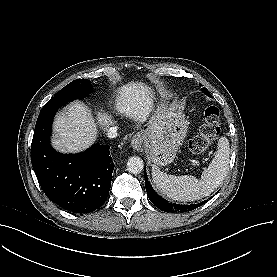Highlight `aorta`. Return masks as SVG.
Listing matches in <instances>:
<instances>
[{"instance_id":"1","label":"aorta","mask_w":277,"mask_h":277,"mask_svg":"<svg viewBox=\"0 0 277 277\" xmlns=\"http://www.w3.org/2000/svg\"><path fill=\"white\" fill-rule=\"evenodd\" d=\"M144 168L143 160L138 156H132L128 159L127 170L132 174H139Z\"/></svg>"}]
</instances>
